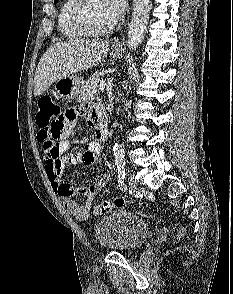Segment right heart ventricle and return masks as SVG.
<instances>
[{
  "instance_id": "1",
  "label": "right heart ventricle",
  "mask_w": 233,
  "mask_h": 294,
  "mask_svg": "<svg viewBox=\"0 0 233 294\" xmlns=\"http://www.w3.org/2000/svg\"><path fill=\"white\" fill-rule=\"evenodd\" d=\"M76 0H63L58 11L57 25L61 34L70 40H78L85 35L77 29L72 20Z\"/></svg>"
}]
</instances>
